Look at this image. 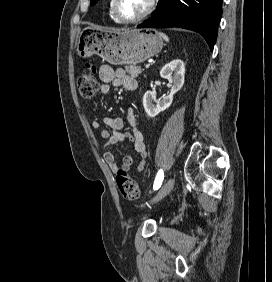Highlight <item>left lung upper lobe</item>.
I'll use <instances>...</instances> for the list:
<instances>
[{
	"label": "left lung upper lobe",
	"instance_id": "left-lung-upper-lobe-1",
	"mask_svg": "<svg viewBox=\"0 0 272 282\" xmlns=\"http://www.w3.org/2000/svg\"><path fill=\"white\" fill-rule=\"evenodd\" d=\"M98 0H91V5H94L95 3H97Z\"/></svg>",
	"mask_w": 272,
	"mask_h": 282
}]
</instances>
